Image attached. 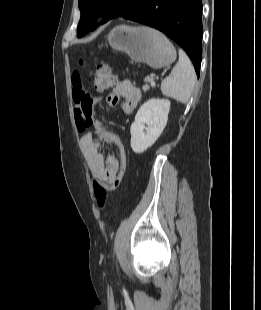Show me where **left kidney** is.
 Segmentation results:
<instances>
[{"label": "left kidney", "mask_w": 261, "mask_h": 310, "mask_svg": "<svg viewBox=\"0 0 261 310\" xmlns=\"http://www.w3.org/2000/svg\"><path fill=\"white\" fill-rule=\"evenodd\" d=\"M169 110L168 99L155 98L139 108L130 128L131 148L135 153H143L159 138L167 124Z\"/></svg>", "instance_id": "1"}]
</instances>
